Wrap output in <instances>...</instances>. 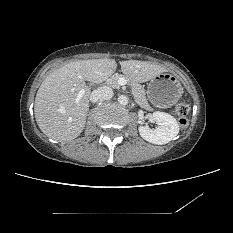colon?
Wrapping results in <instances>:
<instances>
[{
  "label": "colon",
  "instance_id": "5ec220e1",
  "mask_svg": "<svg viewBox=\"0 0 233 233\" xmlns=\"http://www.w3.org/2000/svg\"><path fill=\"white\" fill-rule=\"evenodd\" d=\"M190 112V106L187 103L180 102L175 106V114L177 116L178 124L181 128H185L188 125V114Z\"/></svg>",
  "mask_w": 233,
  "mask_h": 233
}]
</instances>
